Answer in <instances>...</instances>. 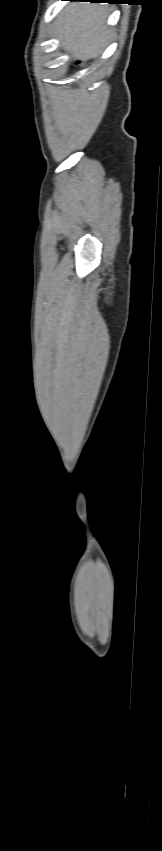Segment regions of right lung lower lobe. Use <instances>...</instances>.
I'll list each match as a JSON object with an SVG mask.
<instances>
[{
  "label": "right lung lower lobe",
  "instance_id": "98d812e1",
  "mask_svg": "<svg viewBox=\"0 0 162 851\" xmlns=\"http://www.w3.org/2000/svg\"><path fill=\"white\" fill-rule=\"evenodd\" d=\"M71 1H82V0H71ZM84 1H90V2H102V1H109V3H110V4H112V3H119V2H118V0H84Z\"/></svg>",
  "mask_w": 162,
  "mask_h": 851
}]
</instances>
